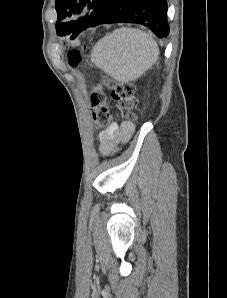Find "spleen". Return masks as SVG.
Wrapping results in <instances>:
<instances>
[{"label": "spleen", "mask_w": 227, "mask_h": 298, "mask_svg": "<svg viewBox=\"0 0 227 298\" xmlns=\"http://www.w3.org/2000/svg\"><path fill=\"white\" fill-rule=\"evenodd\" d=\"M158 56V44L148 33L122 27L95 45L91 60L115 80L129 82L143 75Z\"/></svg>", "instance_id": "1"}]
</instances>
